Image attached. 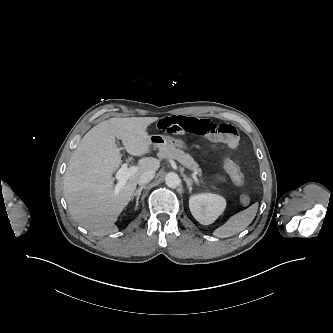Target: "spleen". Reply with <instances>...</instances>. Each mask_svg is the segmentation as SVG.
<instances>
[{
	"label": "spleen",
	"instance_id": "obj_1",
	"mask_svg": "<svg viewBox=\"0 0 333 333\" xmlns=\"http://www.w3.org/2000/svg\"><path fill=\"white\" fill-rule=\"evenodd\" d=\"M257 210L258 203L252 204L247 209L231 216L223 225L213 231V235L219 238H227L243 231L254 220Z\"/></svg>",
	"mask_w": 333,
	"mask_h": 333
}]
</instances>
